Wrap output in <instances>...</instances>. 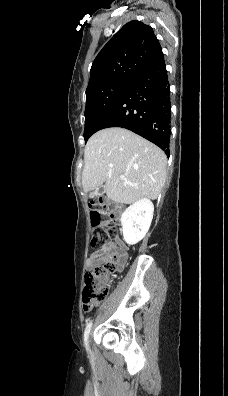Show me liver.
Wrapping results in <instances>:
<instances>
[{
    "label": "liver",
    "instance_id": "liver-1",
    "mask_svg": "<svg viewBox=\"0 0 228 396\" xmlns=\"http://www.w3.org/2000/svg\"><path fill=\"white\" fill-rule=\"evenodd\" d=\"M82 186L85 192L103 186L114 202L155 200L165 183L167 158L155 144L124 128L93 134L84 151ZM124 175L127 182L120 179Z\"/></svg>",
    "mask_w": 228,
    "mask_h": 396
}]
</instances>
